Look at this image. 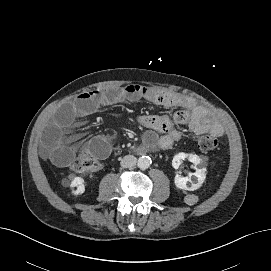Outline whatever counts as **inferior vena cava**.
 I'll list each match as a JSON object with an SVG mask.
<instances>
[{
    "label": "inferior vena cava",
    "instance_id": "1",
    "mask_svg": "<svg viewBox=\"0 0 271 271\" xmlns=\"http://www.w3.org/2000/svg\"><path fill=\"white\" fill-rule=\"evenodd\" d=\"M137 159L133 155H126L121 159L120 165L123 168H131L136 165Z\"/></svg>",
    "mask_w": 271,
    "mask_h": 271
}]
</instances>
